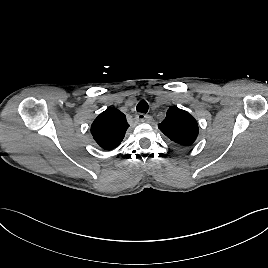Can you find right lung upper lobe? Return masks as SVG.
<instances>
[{"mask_svg": "<svg viewBox=\"0 0 268 268\" xmlns=\"http://www.w3.org/2000/svg\"><path fill=\"white\" fill-rule=\"evenodd\" d=\"M129 127L125 115L114 107L107 108L94 120L91 134L104 150H112L120 145Z\"/></svg>", "mask_w": 268, "mask_h": 268, "instance_id": "right-lung-upper-lobe-1", "label": "right lung upper lobe"}]
</instances>
